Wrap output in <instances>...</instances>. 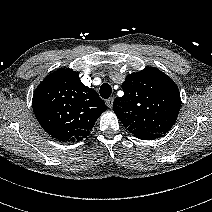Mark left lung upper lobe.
Returning <instances> with one entry per match:
<instances>
[{
  "label": "left lung upper lobe",
  "instance_id": "left-lung-upper-lobe-1",
  "mask_svg": "<svg viewBox=\"0 0 212 212\" xmlns=\"http://www.w3.org/2000/svg\"><path fill=\"white\" fill-rule=\"evenodd\" d=\"M122 89L124 95L114 100L113 109L135 137L165 134L172 128L181 99L177 85L164 72L147 67L129 74Z\"/></svg>",
  "mask_w": 212,
  "mask_h": 212
}]
</instances>
